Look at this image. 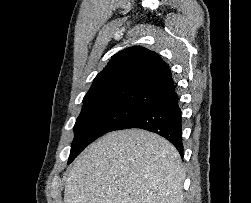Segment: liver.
<instances>
[{"label": "liver", "instance_id": "6515ba94", "mask_svg": "<svg viewBox=\"0 0 251 203\" xmlns=\"http://www.w3.org/2000/svg\"><path fill=\"white\" fill-rule=\"evenodd\" d=\"M185 169L176 148L140 129L89 145L65 177L63 203H182Z\"/></svg>", "mask_w": 251, "mask_h": 203}]
</instances>
